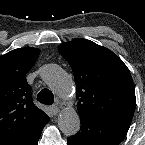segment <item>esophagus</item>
<instances>
[{
  "instance_id": "esophagus-1",
  "label": "esophagus",
  "mask_w": 145,
  "mask_h": 145,
  "mask_svg": "<svg viewBox=\"0 0 145 145\" xmlns=\"http://www.w3.org/2000/svg\"><path fill=\"white\" fill-rule=\"evenodd\" d=\"M51 110H52V113H53L54 115H57V114L59 113V111H60V109H59L56 105H53V106L51 107Z\"/></svg>"
}]
</instances>
